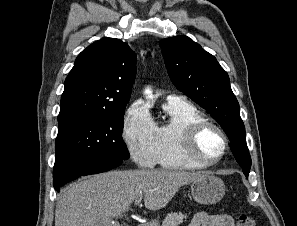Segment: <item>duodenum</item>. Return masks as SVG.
Returning <instances> with one entry per match:
<instances>
[{
	"instance_id": "410a0bca",
	"label": "duodenum",
	"mask_w": 297,
	"mask_h": 226,
	"mask_svg": "<svg viewBox=\"0 0 297 226\" xmlns=\"http://www.w3.org/2000/svg\"><path fill=\"white\" fill-rule=\"evenodd\" d=\"M137 226H150V225L147 222H143V223L138 224Z\"/></svg>"
}]
</instances>
